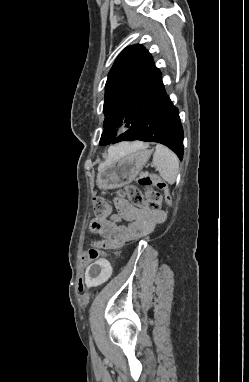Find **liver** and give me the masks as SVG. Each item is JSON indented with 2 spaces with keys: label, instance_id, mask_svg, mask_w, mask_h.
Segmentation results:
<instances>
[{
  "label": "liver",
  "instance_id": "obj_1",
  "mask_svg": "<svg viewBox=\"0 0 249 382\" xmlns=\"http://www.w3.org/2000/svg\"><path fill=\"white\" fill-rule=\"evenodd\" d=\"M144 147H146V145L141 143V142H134L132 144L121 143L117 146L111 147L109 149L107 159L104 162L99 164L98 169L100 170V169L104 168L107 164H109L112 161L113 158H115L117 156L124 155V154L130 153L132 151H136V150L144 148Z\"/></svg>",
  "mask_w": 249,
  "mask_h": 382
}]
</instances>
